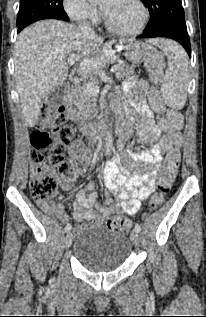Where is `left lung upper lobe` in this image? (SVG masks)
Listing matches in <instances>:
<instances>
[{
  "instance_id": "left-lung-upper-lobe-1",
  "label": "left lung upper lobe",
  "mask_w": 206,
  "mask_h": 317,
  "mask_svg": "<svg viewBox=\"0 0 206 317\" xmlns=\"http://www.w3.org/2000/svg\"><path fill=\"white\" fill-rule=\"evenodd\" d=\"M148 7L151 18L146 31L174 25L186 27L181 0H141Z\"/></svg>"
}]
</instances>
